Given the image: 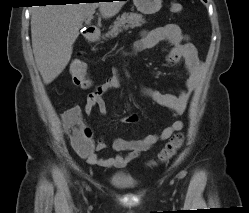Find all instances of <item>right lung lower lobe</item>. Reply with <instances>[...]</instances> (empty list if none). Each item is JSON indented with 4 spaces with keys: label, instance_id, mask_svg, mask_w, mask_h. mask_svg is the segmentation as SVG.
Listing matches in <instances>:
<instances>
[{
    "label": "right lung lower lobe",
    "instance_id": "98d812e1",
    "mask_svg": "<svg viewBox=\"0 0 249 213\" xmlns=\"http://www.w3.org/2000/svg\"><path fill=\"white\" fill-rule=\"evenodd\" d=\"M78 0H47V2L50 3H56V4H65V3H70V2H77ZM111 1V0H108Z\"/></svg>",
    "mask_w": 249,
    "mask_h": 213
}]
</instances>
